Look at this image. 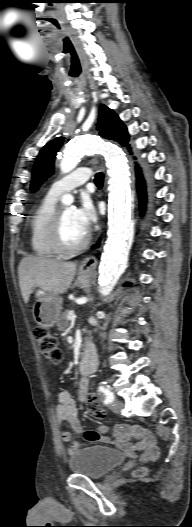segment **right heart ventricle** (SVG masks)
<instances>
[{
	"label": "right heart ventricle",
	"mask_w": 192,
	"mask_h": 527,
	"mask_svg": "<svg viewBox=\"0 0 192 527\" xmlns=\"http://www.w3.org/2000/svg\"><path fill=\"white\" fill-rule=\"evenodd\" d=\"M56 197L49 194L40 202L30 219V242L35 255L54 257L58 254L51 242V227L56 212Z\"/></svg>",
	"instance_id": "1"
}]
</instances>
